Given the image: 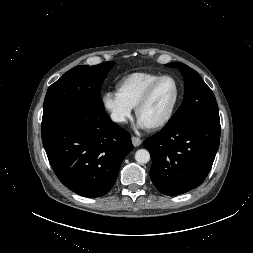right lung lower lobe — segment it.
I'll use <instances>...</instances> for the list:
<instances>
[{
    "label": "right lung lower lobe",
    "mask_w": 253,
    "mask_h": 253,
    "mask_svg": "<svg viewBox=\"0 0 253 253\" xmlns=\"http://www.w3.org/2000/svg\"><path fill=\"white\" fill-rule=\"evenodd\" d=\"M42 141L59 180L78 195L95 198L110 191L125 156L133 149L127 131L106 111H62L42 120Z\"/></svg>",
    "instance_id": "1"
}]
</instances>
